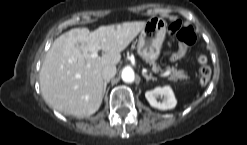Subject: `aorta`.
<instances>
[{
    "instance_id": "obj_1",
    "label": "aorta",
    "mask_w": 247,
    "mask_h": 145,
    "mask_svg": "<svg viewBox=\"0 0 247 145\" xmlns=\"http://www.w3.org/2000/svg\"><path fill=\"white\" fill-rule=\"evenodd\" d=\"M122 80L126 83H132L135 79L134 71L131 67H125L121 73Z\"/></svg>"
}]
</instances>
